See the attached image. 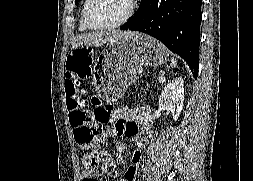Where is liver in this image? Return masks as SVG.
Instances as JSON below:
<instances>
[{
	"label": "liver",
	"instance_id": "6515ba94",
	"mask_svg": "<svg viewBox=\"0 0 253 181\" xmlns=\"http://www.w3.org/2000/svg\"><path fill=\"white\" fill-rule=\"evenodd\" d=\"M137 34V32L121 30L95 31L78 36L72 42V48L75 49L83 46H101L110 41L121 38H131Z\"/></svg>",
	"mask_w": 253,
	"mask_h": 181
}]
</instances>
